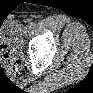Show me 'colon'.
Listing matches in <instances>:
<instances>
[{
  "label": "colon",
  "mask_w": 93,
  "mask_h": 93,
  "mask_svg": "<svg viewBox=\"0 0 93 93\" xmlns=\"http://www.w3.org/2000/svg\"><path fill=\"white\" fill-rule=\"evenodd\" d=\"M0 32L2 66L8 64L14 65L18 60L15 52V44L17 40L16 25L13 22L10 24H2Z\"/></svg>",
  "instance_id": "5ec220e1"
}]
</instances>
